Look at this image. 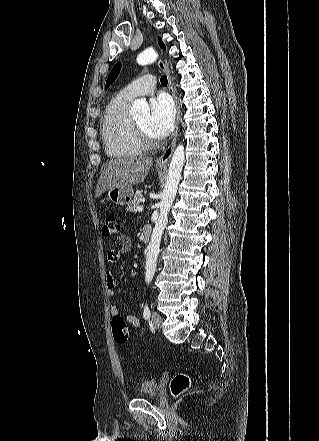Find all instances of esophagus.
<instances>
[{
    "mask_svg": "<svg viewBox=\"0 0 319 441\" xmlns=\"http://www.w3.org/2000/svg\"><path fill=\"white\" fill-rule=\"evenodd\" d=\"M157 64H158V67L167 76V79H168V89H169L172 97L174 98L175 105H176V121H175V130H174L172 142L168 146V148L165 150L163 155L161 157H159L157 159V161H156L157 165H162L163 166V165H166L169 162V160H170V158H171V156L173 154L175 145H176L177 136H178V129H179V121H180V106H179L178 98H177V95L175 93V90H174V87H173V84H172V78H171L170 72H169L166 64L161 59L158 60Z\"/></svg>",
    "mask_w": 319,
    "mask_h": 441,
    "instance_id": "34e87169",
    "label": "esophagus"
}]
</instances>
